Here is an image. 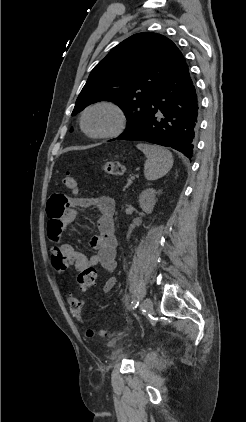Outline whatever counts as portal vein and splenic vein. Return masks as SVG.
I'll return each mask as SVG.
<instances>
[{
    "label": "portal vein and splenic vein",
    "instance_id": "portal-vein-and-splenic-vein-1",
    "mask_svg": "<svg viewBox=\"0 0 246 422\" xmlns=\"http://www.w3.org/2000/svg\"><path fill=\"white\" fill-rule=\"evenodd\" d=\"M135 179V176H131V180H134Z\"/></svg>",
    "mask_w": 246,
    "mask_h": 422
}]
</instances>
